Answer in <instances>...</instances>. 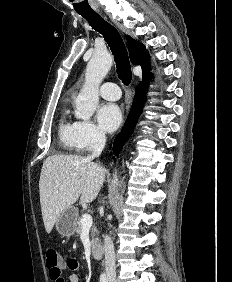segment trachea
Wrapping results in <instances>:
<instances>
[{
    "label": "trachea",
    "instance_id": "3493384b",
    "mask_svg": "<svg viewBox=\"0 0 232 282\" xmlns=\"http://www.w3.org/2000/svg\"><path fill=\"white\" fill-rule=\"evenodd\" d=\"M80 15L88 21L94 30L103 35L113 53L118 77L125 85H129L132 79L131 66L128 52L120 33L95 12L80 13Z\"/></svg>",
    "mask_w": 232,
    "mask_h": 282
}]
</instances>
